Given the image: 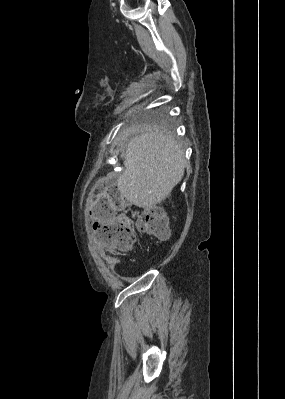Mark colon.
Instances as JSON below:
<instances>
[{"label":"colon","mask_w":285,"mask_h":399,"mask_svg":"<svg viewBox=\"0 0 285 399\" xmlns=\"http://www.w3.org/2000/svg\"><path fill=\"white\" fill-rule=\"evenodd\" d=\"M120 205L121 197L109 184L103 185L88 202L96 239L106 250L119 255L131 252L136 244V230L161 238L169 235L168 217L162 207L141 208L133 217L117 213Z\"/></svg>","instance_id":"1"}]
</instances>
